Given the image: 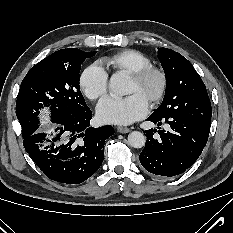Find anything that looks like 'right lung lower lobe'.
<instances>
[{
  "label": "right lung lower lobe",
  "mask_w": 233,
  "mask_h": 233,
  "mask_svg": "<svg viewBox=\"0 0 233 233\" xmlns=\"http://www.w3.org/2000/svg\"><path fill=\"white\" fill-rule=\"evenodd\" d=\"M89 109L73 119L57 123L54 133L35 132L24 138L29 156L51 180L79 184L91 177L104 160L105 140L114 134L111 126L92 128Z\"/></svg>",
  "instance_id": "98d812e1"
}]
</instances>
